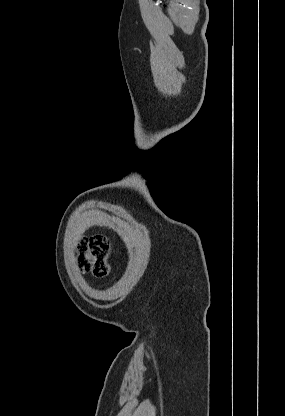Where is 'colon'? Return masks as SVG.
<instances>
[{
  "instance_id": "1",
  "label": "colon",
  "mask_w": 285,
  "mask_h": 416,
  "mask_svg": "<svg viewBox=\"0 0 285 416\" xmlns=\"http://www.w3.org/2000/svg\"><path fill=\"white\" fill-rule=\"evenodd\" d=\"M111 246L103 235L84 238L78 247L79 267L82 272H91L97 277H104L109 271L108 257Z\"/></svg>"
}]
</instances>
